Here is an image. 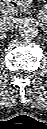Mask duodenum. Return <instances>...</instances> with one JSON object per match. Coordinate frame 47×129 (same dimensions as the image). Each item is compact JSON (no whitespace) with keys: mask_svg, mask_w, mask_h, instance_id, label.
I'll list each match as a JSON object with an SVG mask.
<instances>
[{"mask_svg":"<svg viewBox=\"0 0 47 129\" xmlns=\"http://www.w3.org/2000/svg\"><path fill=\"white\" fill-rule=\"evenodd\" d=\"M17 8V4L13 0H4L2 2V11L5 14L12 13Z\"/></svg>","mask_w":47,"mask_h":129,"instance_id":"1","label":"duodenum"}]
</instances>
